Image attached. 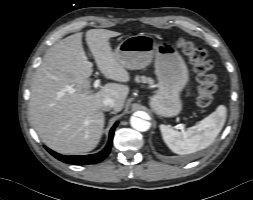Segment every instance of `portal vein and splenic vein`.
Here are the masks:
<instances>
[{"instance_id": "portal-vein-and-splenic-vein-1", "label": "portal vein and splenic vein", "mask_w": 253, "mask_h": 200, "mask_svg": "<svg viewBox=\"0 0 253 200\" xmlns=\"http://www.w3.org/2000/svg\"><path fill=\"white\" fill-rule=\"evenodd\" d=\"M100 84V81L99 80H96L93 84L94 88H97ZM67 90L69 91H73L72 87H68Z\"/></svg>"}]
</instances>
